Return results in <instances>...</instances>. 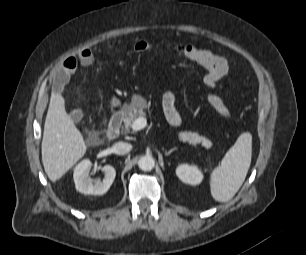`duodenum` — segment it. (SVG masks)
Wrapping results in <instances>:
<instances>
[{"label": "duodenum", "instance_id": "410a0bca", "mask_svg": "<svg viewBox=\"0 0 306 255\" xmlns=\"http://www.w3.org/2000/svg\"><path fill=\"white\" fill-rule=\"evenodd\" d=\"M122 125V114L121 112H114L109 120V125L107 129V136L114 140L120 135V129Z\"/></svg>", "mask_w": 306, "mask_h": 255}]
</instances>
